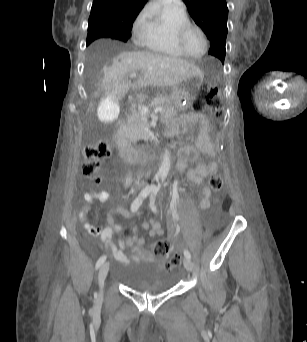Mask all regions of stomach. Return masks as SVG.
I'll use <instances>...</instances> for the list:
<instances>
[{"label":"stomach","mask_w":307,"mask_h":342,"mask_svg":"<svg viewBox=\"0 0 307 342\" xmlns=\"http://www.w3.org/2000/svg\"><path fill=\"white\" fill-rule=\"evenodd\" d=\"M202 77L195 76L176 87L171 99L174 107L179 111L186 110L194 99V96L200 88Z\"/></svg>","instance_id":"0dacf381"}]
</instances>
